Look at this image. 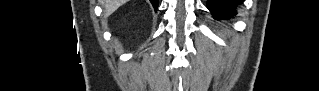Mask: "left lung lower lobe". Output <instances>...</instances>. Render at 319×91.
Returning a JSON list of instances; mask_svg holds the SVG:
<instances>
[{"mask_svg": "<svg viewBox=\"0 0 319 91\" xmlns=\"http://www.w3.org/2000/svg\"><path fill=\"white\" fill-rule=\"evenodd\" d=\"M243 0H208L207 8L217 19L236 15V6Z\"/></svg>", "mask_w": 319, "mask_h": 91, "instance_id": "0a47b994", "label": "left lung lower lobe"}]
</instances>
